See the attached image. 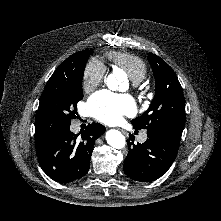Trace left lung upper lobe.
Here are the masks:
<instances>
[{
    "instance_id": "obj_1",
    "label": "left lung upper lobe",
    "mask_w": 221,
    "mask_h": 221,
    "mask_svg": "<svg viewBox=\"0 0 221 221\" xmlns=\"http://www.w3.org/2000/svg\"><path fill=\"white\" fill-rule=\"evenodd\" d=\"M148 59L155 77V96L148 110L132 120L135 129L148 131L158 127L184 128L185 98L172 68L160 57L149 53Z\"/></svg>"
}]
</instances>
